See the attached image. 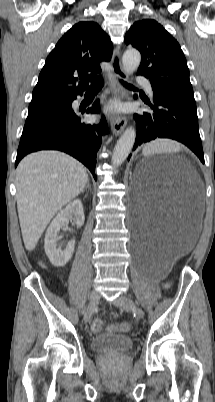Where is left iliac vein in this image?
Here are the masks:
<instances>
[{"label":"left iliac vein","mask_w":215,"mask_h":402,"mask_svg":"<svg viewBox=\"0 0 215 402\" xmlns=\"http://www.w3.org/2000/svg\"><path fill=\"white\" fill-rule=\"evenodd\" d=\"M114 304L125 311L134 309L139 318H144V311L141 308L136 307L133 301L127 296L120 295L114 300Z\"/></svg>","instance_id":"1"}]
</instances>
